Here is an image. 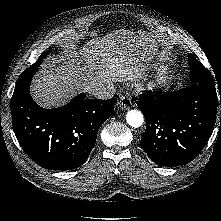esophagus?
Wrapping results in <instances>:
<instances>
[{
  "mask_svg": "<svg viewBox=\"0 0 221 221\" xmlns=\"http://www.w3.org/2000/svg\"><path fill=\"white\" fill-rule=\"evenodd\" d=\"M131 106V99L126 96H121L118 101V108L121 110H128Z\"/></svg>",
  "mask_w": 221,
  "mask_h": 221,
  "instance_id": "34e87169",
  "label": "esophagus"
}]
</instances>
